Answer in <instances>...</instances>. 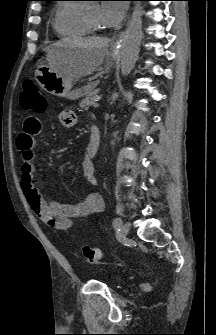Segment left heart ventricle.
Here are the masks:
<instances>
[{
    "label": "left heart ventricle",
    "instance_id": "left-heart-ventricle-1",
    "mask_svg": "<svg viewBox=\"0 0 216 335\" xmlns=\"http://www.w3.org/2000/svg\"><path fill=\"white\" fill-rule=\"evenodd\" d=\"M88 18L97 26H102L99 19V7L91 6L84 11Z\"/></svg>",
    "mask_w": 216,
    "mask_h": 335
}]
</instances>
